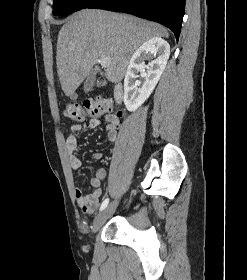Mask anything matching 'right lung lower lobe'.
<instances>
[{
    "label": "right lung lower lobe",
    "instance_id": "1",
    "mask_svg": "<svg viewBox=\"0 0 247 280\" xmlns=\"http://www.w3.org/2000/svg\"><path fill=\"white\" fill-rule=\"evenodd\" d=\"M88 8L121 11L157 21L170 28L178 40L185 0H97Z\"/></svg>",
    "mask_w": 247,
    "mask_h": 280
}]
</instances>
